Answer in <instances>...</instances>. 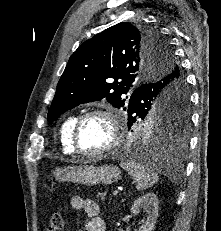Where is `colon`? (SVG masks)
Listing matches in <instances>:
<instances>
[{
    "instance_id": "5ec220e1",
    "label": "colon",
    "mask_w": 221,
    "mask_h": 231,
    "mask_svg": "<svg viewBox=\"0 0 221 231\" xmlns=\"http://www.w3.org/2000/svg\"><path fill=\"white\" fill-rule=\"evenodd\" d=\"M63 228V217L60 213L51 215L48 221V231H61Z\"/></svg>"
}]
</instances>
